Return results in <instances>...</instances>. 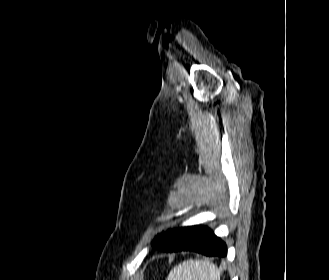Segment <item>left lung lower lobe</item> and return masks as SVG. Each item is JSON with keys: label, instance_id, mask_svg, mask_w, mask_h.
<instances>
[{"label": "left lung lower lobe", "instance_id": "0a47b994", "mask_svg": "<svg viewBox=\"0 0 329 280\" xmlns=\"http://www.w3.org/2000/svg\"><path fill=\"white\" fill-rule=\"evenodd\" d=\"M167 236L166 245L160 249L166 252L182 250L195 251L207 256L227 255L225 243L216 237L207 227L191 226L174 229L164 234Z\"/></svg>", "mask_w": 329, "mask_h": 280}]
</instances>
